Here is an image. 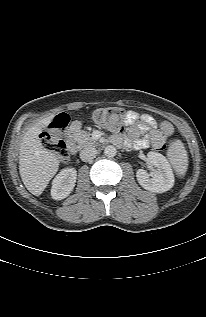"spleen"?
Returning a JSON list of instances; mask_svg holds the SVG:
<instances>
[{"mask_svg": "<svg viewBox=\"0 0 206 317\" xmlns=\"http://www.w3.org/2000/svg\"><path fill=\"white\" fill-rule=\"evenodd\" d=\"M167 157L178 176H184L188 167V155L180 140L173 142L168 149Z\"/></svg>", "mask_w": 206, "mask_h": 317, "instance_id": "spleen-1", "label": "spleen"}]
</instances>
